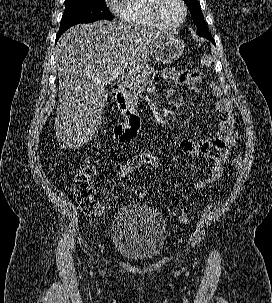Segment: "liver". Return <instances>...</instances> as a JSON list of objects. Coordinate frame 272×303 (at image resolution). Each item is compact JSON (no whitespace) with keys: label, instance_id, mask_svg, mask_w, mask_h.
Segmentation results:
<instances>
[{"label":"liver","instance_id":"liver-1","mask_svg":"<svg viewBox=\"0 0 272 303\" xmlns=\"http://www.w3.org/2000/svg\"><path fill=\"white\" fill-rule=\"evenodd\" d=\"M168 36L171 34L138 25L102 20L73 26L60 37L54 130L64 148L80 147L98 133L108 99L107 81L127 67L132 74L146 69Z\"/></svg>","mask_w":272,"mask_h":303}]
</instances>
